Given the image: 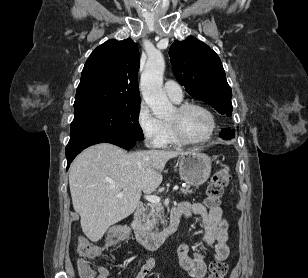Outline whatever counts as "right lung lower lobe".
<instances>
[{"label": "right lung lower lobe", "instance_id": "obj_1", "mask_svg": "<svg viewBox=\"0 0 308 278\" xmlns=\"http://www.w3.org/2000/svg\"><path fill=\"white\" fill-rule=\"evenodd\" d=\"M137 140L129 139L125 137L117 136H86L79 137L75 139H70L69 143L66 146V157H67V169L69 168L73 159L85 148L102 143H112L124 149H130L134 147Z\"/></svg>", "mask_w": 308, "mask_h": 278}]
</instances>
